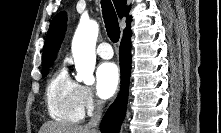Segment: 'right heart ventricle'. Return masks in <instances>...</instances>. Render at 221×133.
Segmentation results:
<instances>
[{
    "mask_svg": "<svg viewBox=\"0 0 221 133\" xmlns=\"http://www.w3.org/2000/svg\"><path fill=\"white\" fill-rule=\"evenodd\" d=\"M49 116L62 124H75L82 120L84 109L80 101V85L72 80L66 70L58 69L46 87Z\"/></svg>",
    "mask_w": 221,
    "mask_h": 133,
    "instance_id": "right-heart-ventricle-1",
    "label": "right heart ventricle"
}]
</instances>
